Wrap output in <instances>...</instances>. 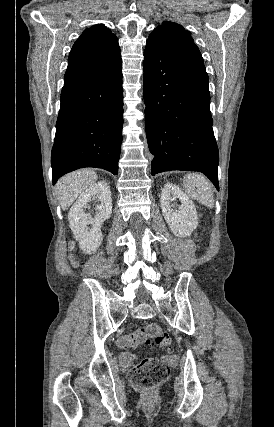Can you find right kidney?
Segmentation results:
<instances>
[{"mask_svg": "<svg viewBox=\"0 0 274 427\" xmlns=\"http://www.w3.org/2000/svg\"><path fill=\"white\" fill-rule=\"evenodd\" d=\"M100 200V206H97V214L91 217L85 214L84 208L89 206L88 202ZM112 214V198L108 184L106 182H96L90 184L87 190L80 194L78 200L69 210L68 219L70 227L74 233L76 241H79L80 249L84 253H95L102 243L103 235L101 225L105 219ZM91 223L92 227H88Z\"/></svg>", "mask_w": 274, "mask_h": 427, "instance_id": "obj_1", "label": "right kidney"}]
</instances>
